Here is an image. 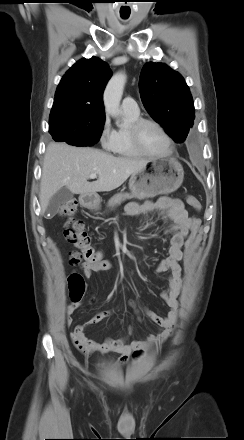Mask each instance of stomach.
Returning a JSON list of instances; mask_svg holds the SVG:
<instances>
[{
	"instance_id": "1",
	"label": "stomach",
	"mask_w": 244,
	"mask_h": 440,
	"mask_svg": "<svg viewBox=\"0 0 244 440\" xmlns=\"http://www.w3.org/2000/svg\"><path fill=\"white\" fill-rule=\"evenodd\" d=\"M183 179V167L175 158L151 159L142 170L131 175L129 189L133 194L143 197L170 194L181 186ZM83 204L97 209L99 198H84Z\"/></svg>"
}]
</instances>
